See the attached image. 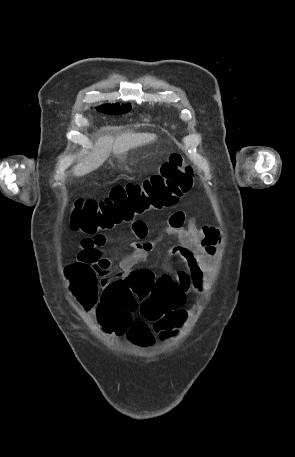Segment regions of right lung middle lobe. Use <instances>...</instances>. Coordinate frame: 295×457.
<instances>
[{"mask_svg":"<svg viewBox=\"0 0 295 457\" xmlns=\"http://www.w3.org/2000/svg\"><path fill=\"white\" fill-rule=\"evenodd\" d=\"M131 108L130 105H118V104H113V105H103L101 107L98 108L99 111H102L104 113H109V114H114V113H125L127 111H129Z\"/></svg>","mask_w":295,"mask_h":457,"instance_id":"dd1d6c3e","label":"right lung middle lobe"}]
</instances>
